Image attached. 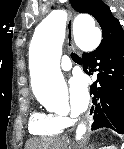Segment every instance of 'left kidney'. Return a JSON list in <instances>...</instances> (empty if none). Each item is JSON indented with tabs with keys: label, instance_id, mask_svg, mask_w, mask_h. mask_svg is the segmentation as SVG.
<instances>
[{
	"label": "left kidney",
	"instance_id": "left-kidney-1",
	"mask_svg": "<svg viewBox=\"0 0 124 149\" xmlns=\"http://www.w3.org/2000/svg\"><path fill=\"white\" fill-rule=\"evenodd\" d=\"M100 149H116V147L115 146H109V147H101Z\"/></svg>",
	"mask_w": 124,
	"mask_h": 149
}]
</instances>
